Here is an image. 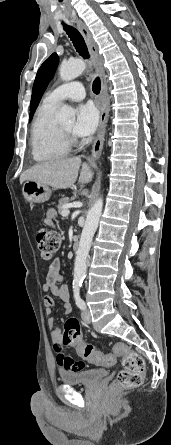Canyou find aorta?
Instances as JSON below:
<instances>
[{
  "label": "aorta",
  "instance_id": "aorta-1",
  "mask_svg": "<svg viewBox=\"0 0 171 445\" xmlns=\"http://www.w3.org/2000/svg\"><path fill=\"white\" fill-rule=\"evenodd\" d=\"M85 69L86 63L82 59L63 62L59 69L60 78L63 81L73 80L81 75ZM57 120L59 122H73L75 120L74 109L68 105H63L57 114ZM102 209L103 199L99 198L87 213L74 263L73 282L75 284H81L86 276L87 257L90 251L93 236L99 224Z\"/></svg>",
  "mask_w": 171,
  "mask_h": 445
}]
</instances>
